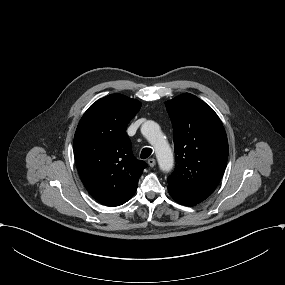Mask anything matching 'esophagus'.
Here are the masks:
<instances>
[{
	"instance_id": "obj_1",
	"label": "esophagus",
	"mask_w": 285,
	"mask_h": 285,
	"mask_svg": "<svg viewBox=\"0 0 285 285\" xmlns=\"http://www.w3.org/2000/svg\"><path fill=\"white\" fill-rule=\"evenodd\" d=\"M155 164H156V160H155L154 158L148 159V165H149L150 167H154Z\"/></svg>"
}]
</instances>
